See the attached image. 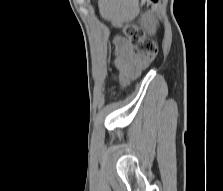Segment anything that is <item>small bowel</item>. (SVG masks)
I'll return each mask as SVG.
<instances>
[{"label": "small bowel", "instance_id": "1", "mask_svg": "<svg viewBox=\"0 0 223 191\" xmlns=\"http://www.w3.org/2000/svg\"><path fill=\"white\" fill-rule=\"evenodd\" d=\"M113 44L116 55L115 65L118 69V81L125 85L130 79L140 74L144 58L123 37H115Z\"/></svg>", "mask_w": 223, "mask_h": 191}]
</instances>
